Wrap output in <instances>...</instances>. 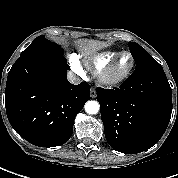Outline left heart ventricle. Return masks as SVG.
Instances as JSON below:
<instances>
[{
    "label": "left heart ventricle",
    "instance_id": "obj_1",
    "mask_svg": "<svg viewBox=\"0 0 178 178\" xmlns=\"http://www.w3.org/2000/svg\"><path fill=\"white\" fill-rule=\"evenodd\" d=\"M132 60L128 54L122 55L112 69V76H119L126 72L131 66Z\"/></svg>",
    "mask_w": 178,
    "mask_h": 178
}]
</instances>
